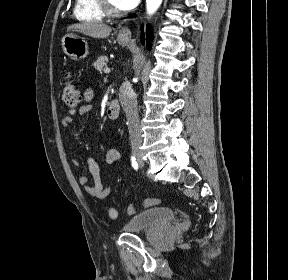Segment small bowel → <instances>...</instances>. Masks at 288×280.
<instances>
[{"mask_svg":"<svg viewBox=\"0 0 288 280\" xmlns=\"http://www.w3.org/2000/svg\"><path fill=\"white\" fill-rule=\"evenodd\" d=\"M93 92L88 89L84 93V104L80 106L78 110V115L79 116H84L88 114L91 111V105L89 104L90 100L92 99ZM74 121V116L68 115L64 117L61 121V124L64 127H69ZM121 158V153L118 149H110L106 153V162L111 164L114 163ZM73 164L78 166L79 162L77 160H73ZM87 167L88 171L93 179V184H89V178L85 175L80 176L78 179L79 184L84 188L87 194H89L92 197L98 198V199H104L106 198L110 192H111V187L109 186H104L101 180V175H100V167L96 160L92 157L87 158Z\"/></svg>","mask_w":288,"mask_h":280,"instance_id":"obj_1","label":"small bowel"}]
</instances>
